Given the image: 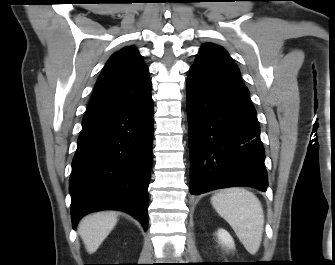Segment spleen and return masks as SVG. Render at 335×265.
Masks as SVG:
<instances>
[{"label":"spleen","instance_id":"spleen-1","mask_svg":"<svg viewBox=\"0 0 335 265\" xmlns=\"http://www.w3.org/2000/svg\"><path fill=\"white\" fill-rule=\"evenodd\" d=\"M218 214L233 228L245 249L258 251L264 228V213L259 199L245 188H227L211 197Z\"/></svg>","mask_w":335,"mask_h":265}]
</instances>
